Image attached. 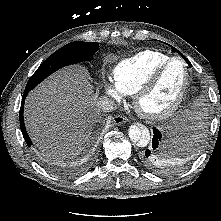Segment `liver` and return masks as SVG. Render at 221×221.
Masks as SVG:
<instances>
[{
  "label": "liver",
  "instance_id": "6515ba94",
  "mask_svg": "<svg viewBox=\"0 0 221 221\" xmlns=\"http://www.w3.org/2000/svg\"><path fill=\"white\" fill-rule=\"evenodd\" d=\"M26 129L36 146L57 160L80 154L97 120V96L82 66L63 69L25 101Z\"/></svg>",
  "mask_w": 221,
  "mask_h": 221
}]
</instances>
